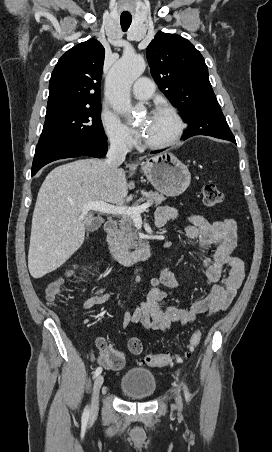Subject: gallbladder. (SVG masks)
Segmentation results:
<instances>
[{
    "label": "gallbladder",
    "mask_w": 272,
    "mask_h": 452,
    "mask_svg": "<svg viewBox=\"0 0 272 452\" xmlns=\"http://www.w3.org/2000/svg\"><path fill=\"white\" fill-rule=\"evenodd\" d=\"M101 222L96 220L94 222H92V224L88 227V230H96L100 227Z\"/></svg>",
    "instance_id": "1"
}]
</instances>
